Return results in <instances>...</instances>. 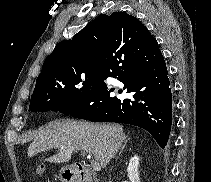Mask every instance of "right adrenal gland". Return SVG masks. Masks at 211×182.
Listing matches in <instances>:
<instances>
[{"instance_id": "right-adrenal-gland-1", "label": "right adrenal gland", "mask_w": 211, "mask_h": 182, "mask_svg": "<svg viewBox=\"0 0 211 182\" xmlns=\"http://www.w3.org/2000/svg\"><path fill=\"white\" fill-rule=\"evenodd\" d=\"M128 140H129V139H125V140H124V144H123V146L121 147V150L119 151V156H120V154L122 153V151L125 149Z\"/></svg>"}]
</instances>
